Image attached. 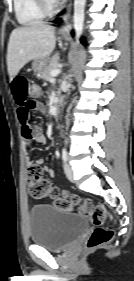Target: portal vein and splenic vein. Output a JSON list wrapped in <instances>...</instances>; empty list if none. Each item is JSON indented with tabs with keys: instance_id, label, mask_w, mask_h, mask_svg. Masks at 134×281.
<instances>
[{
	"instance_id": "portal-vein-and-splenic-vein-1",
	"label": "portal vein and splenic vein",
	"mask_w": 134,
	"mask_h": 281,
	"mask_svg": "<svg viewBox=\"0 0 134 281\" xmlns=\"http://www.w3.org/2000/svg\"><path fill=\"white\" fill-rule=\"evenodd\" d=\"M60 73H61V69H54V70L51 71L50 75H51L52 77H56V76H58Z\"/></svg>"
}]
</instances>
